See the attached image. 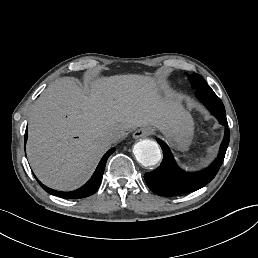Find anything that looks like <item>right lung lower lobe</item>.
Segmentation results:
<instances>
[{
	"label": "right lung lower lobe",
	"instance_id": "1",
	"mask_svg": "<svg viewBox=\"0 0 258 258\" xmlns=\"http://www.w3.org/2000/svg\"><path fill=\"white\" fill-rule=\"evenodd\" d=\"M27 140V129L25 132V139H24V143H26ZM115 151V148H111L101 159V161L99 162L93 176L90 178V180L81 188L75 190V191H71V192H61V191H56L53 189H50L48 187H46L45 185H43L38 179V183L42 186V188L50 193L51 195H55L61 198H65V199H79V198H84V197H88L92 194H94L100 184H101V180H102V176L104 173V169H105V165L107 162L108 157Z\"/></svg>",
	"mask_w": 258,
	"mask_h": 258
}]
</instances>
